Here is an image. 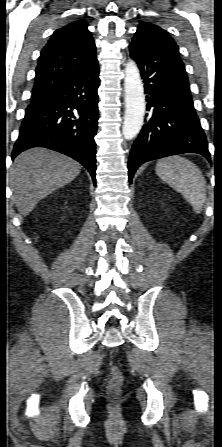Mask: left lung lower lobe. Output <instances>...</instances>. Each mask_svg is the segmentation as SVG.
I'll return each instance as SVG.
<instances>
[{
    "label": "left lung lower lobe",
    "mask_w": 222,
    "mask_h": 447,
    "mask_svg": "<svg viewBox=\"0 0 222 447\" xmlns=\"http://www.w3.org/2000/svg\"><path fill=\"white\" fill-rule=\"evenodd\" d=\"M131 57L136 61L146 96V123L128 161L129 181L137 168L162 157L193 152L210 160L208 144L196 115L184 64L162 44L134 36Z\"/></svg>",
    "instance_id": "left-lung-lower-lobe-1"
}]
</instances>
